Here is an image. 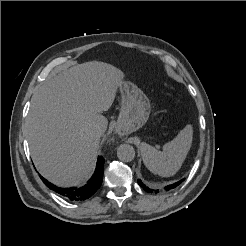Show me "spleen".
<instances>
[{"label":"spleen","mask_w":246,"mask_h":246,"mask_svg":"<svg viewBox=\"0 0 246 246\" xmlns=\"http://www.w3.org/2000/svg\"><path fill=\"white\" fill-rule=\"evenodd\" d=\"M193 139V128L187 125L170 142L163 146V151L142 142L140 145L143 162L147 169L162 177H170L181 168Z\"/></svg>","instance_id":"1"}]
</instances>
